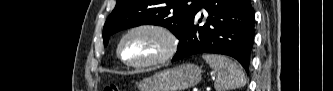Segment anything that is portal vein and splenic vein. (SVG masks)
Segmentation results:
<instances>
[{
    "mask_svg": "<svg viewBox=\"0 0 333 91\" xmlns=\"http://www.w3.org/2000/svg\"><path fill=\"white\" fill-rule=\"evenodd\" d=\"M192 91H198V89H197V88H194Z\"/></svg>",
    "mask_w": 333,
    "mask_h": 91,
    "instance_id": "1",
    "label": "portal vein and splenic vein"
}]
</instances>
